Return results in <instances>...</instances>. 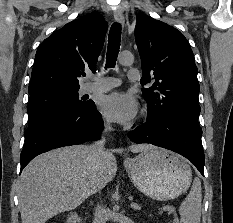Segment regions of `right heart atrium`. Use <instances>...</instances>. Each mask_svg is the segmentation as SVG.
<instances>
[{
  "mask_svg": "<svg viewBox=\"0 0 233 223\" xmlns=\"http://www.w3.org/2000/svg\"><path fill=\"white\" fill-rule=\"evenodd\" d=\"M104 127L107 128V129H110V128L112 127V126H111V122L108 121V120H106V121L104 122Z\"/></svg>",
  "mask_w": 233,
  "mask_h": 223,
  "instance_id": "1",
  "label": "right heart atrium"
}]
</instances>
